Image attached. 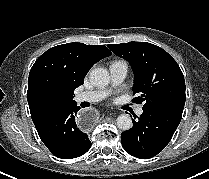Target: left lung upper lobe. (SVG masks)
<instances>
[{
  "label": "left lung upper lobe",
  "instance_id": "5c2ea615",
  "mask_svg": "<svg viewBox=\"0 0 209 179\" xmlns=\"http://www.w3.org/2000/svg\"><path fill=\"white\" fill-rule=\"evenodd\" d=\"M114 54L127 60L134 72L133 102L143 109L185 105V80L176 61L162 48L147 42L110 44Z\"/></svg>",
  "mask_w": 209,
  "mask_h": 179
}]
</instances>
